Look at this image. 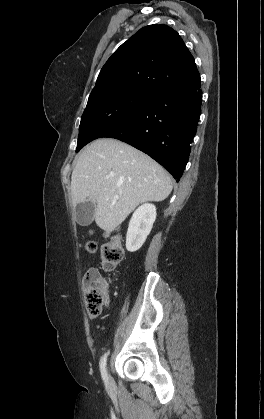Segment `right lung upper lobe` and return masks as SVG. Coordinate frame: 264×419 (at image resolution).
<instances>
[{
    "mask_svg": "<svg viewBox=\"0 0 264 419\" xmlns=\"http://www.w3.org/2000/svg\"><path fill=\"white\" fill-rule=\"evenodd\" d=\"M199 81L194 58L180 35L164 24L149 25L112 54L102 67L93 90L131 85L157 93Z\"/></svg>",
    "mask_w": 264,
    "mask_h": 419,
    "instance_id": "cb5924a9",
    "label": "right lung upper lobe"
}]
</instances>
